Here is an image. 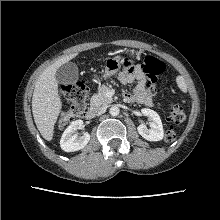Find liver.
<instances>
[{
    "mask_svg": "<svg viewBox=\"0 0 220 220\" xmlns=\"http://www.w3.org/2000/svg\"><path fill=\"white\" fill-rule=\"evenodd\" d=\"M77 55V53H73L55 61L42 72L35 84L32 97L33 117L40 134L47 141H51L53 138L54 125L62 109L55 78L56 71Z\"/></svg>",
    "mask_w": 220,
    "mask_h": 220,
    "instance_id": "6515ba94",
    "label": "liver"
}]
</instances>
